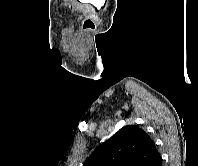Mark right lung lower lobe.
I'll list each match as a JSON object with an SVG mask.
<instances>
[{"instance_id":"obj_1","label":"right lung lower lobe","mask_w":198,"mask_h":166,"mask_svg":"<svg viewBox=\"0 0 198 166\" xmlns=\"http://www.w3.org/2000/svg\"><path fill=\"white\" fill-rule=\"evenodd\" d=\"M149 166H162L161 156L156 157Z\"/></svg>"}]
</instances>
